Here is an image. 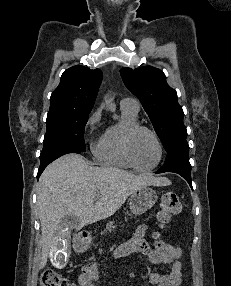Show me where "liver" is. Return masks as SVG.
<instances>
[{
    "instance_id": "6515ba94",
    "label": "liver",
    "mask_w": 231,
    "mask_h": 286,
    "mask_svg": "<svg viewBox=\"0 0 231 286\" xmlns=\"http://www.w3.org/2000/svg\"><path fill=\"white\" fill-rule=\"evenodd\" d=\"M170 184V180L163 177L137 176L118 168L89 166L79 154L60 157L47 166L38 184L37 211L42 232L39 268L47 264L65 216L75 215L79 219L77 229H81L113 215L138 189Z\"/></svg>"
}]
</instances>
